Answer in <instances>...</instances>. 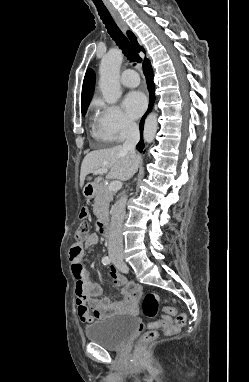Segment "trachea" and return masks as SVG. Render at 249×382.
Returning <instances> with one entry per match:
<instances>
[{
  "label": "trachea",
  "instance_id": "obj_1",
  "mask_svg": "<svg viewBox=\"0 0 249 382\" xmlns=\"http://www.w3.org/2000/svg\"><path fill=\"white\" fill-rule=\"evenodd\" d=\"M95 3V6L97 8L98 14L105 24V27L110 35V37L116 42V44L120 47L124 55L127 57V59L131 62L140 63L142 59L137 54V52L132 47L129 40L125 37V35L121 32V30L118 28L116 23L114 22L113 18L111 17L109 11L105 7V5L98 1L93 0Z\"/></svg>",
  "mask_w": 249,
  "mask_h": 382
}]
</instances>
